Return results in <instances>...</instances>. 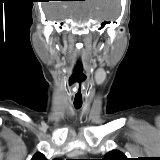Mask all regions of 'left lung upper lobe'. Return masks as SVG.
Returning <instances> with one entry per match:
<instances>
[{
	"label": "left lung upper lobe",
	"mask_w": 160,
	"mask_h": 160,
	"mask_svg": "<svg viewBox=\"0 0 160 160\" xmlns=\"http://www.w3.org/2000/svg\"><path fill=\"white\" fill-rule=\"evenodd\" d=\"M102 160H128V159L122 152L118 150H113L108 152L106 154V158H102Z\"/></svg>",
	"instance_id": "1"
}]
</instances>
